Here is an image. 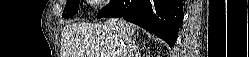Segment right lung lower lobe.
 <instances>
[{"label":"right lung lower lobe","mask_w":249,"mask_h":57,"mask_svg":"<svg viewBox=\"0 0 249 57\" xmlns=\"http://www.w3.org/2000/svg\"><path fill=\"white\" fill-rule=\"evenodd\" d=\"M123 17L174 46L183 21L182 0H111L97 18Z\"/></svg>","instance_id":"98d812e1"}]
</instances>
